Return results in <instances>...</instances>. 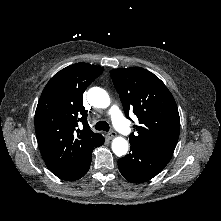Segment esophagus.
<instances>
[{"label": "esophagus", "mask_w": 221, "mask_h": 221, "mask_svg": "<svg viewBox=\"0 0 221 221\" xmlns=\"http://www.w3.org/2000/svg\"><path fill=\"white\" fill-rule=\"evenodd\" d=\"M116 136V132H114V131H111V132H109L108 134H107V137L109 138V139H112V138H114Z\"/></svg>", "instance_id": "esophagus-1"}]
</instances>
